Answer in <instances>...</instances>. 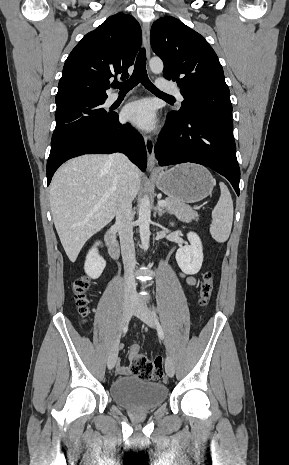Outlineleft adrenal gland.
I'll return each instance as SVG.
<instances>
[{
  "label": "left adrenal gland",
  "mask_w": 289,
  "mask_h": 465,
  "mask_svg": "<svg viewBox=\"0 0 289 465\" xmlns=\"http://www.w3.org/2000/svg\"><path fill=\"white\" fill-rule=\"evenodd\" d=\"M156 210H157V212H158V216H160V217H161L162 215H164L165 213H167V211H165V210H164L162 207H160V206H157V207H156Z\"/></svg>",
  "instance_id": "obj_1"
}]
</instances>
